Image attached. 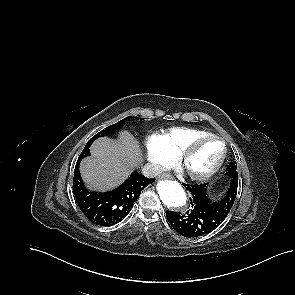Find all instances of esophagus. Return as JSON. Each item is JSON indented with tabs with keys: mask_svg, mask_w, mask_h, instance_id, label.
I'll list each match as a JSON object with an SVG mask.
<instances>
[{
	"mask_svg": "<svg viewBox=\"0 0 295 295\" xmlns=\"http://www.w3.org/2000/svg\"><path fill=\"white\" fill-rule=\"evenodd\" d=\"M160 178H168L169 179V178H172V176L167 173H163L160 175Z\"/></svg>",
	"mask_w": 295,
	"mask_h": 295,
	"instance_id": "1",
	"label": "esophagus"
}]
</instances>
